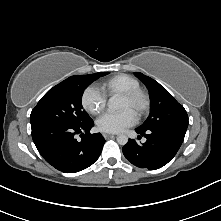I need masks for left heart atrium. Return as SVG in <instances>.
<instances>
[{
  "mask_svg": "<svg viewBox=\"0 0 221 221\" xmlns=\"http://www.w3.org/2000/svg\"><path fill=\"white\" fill-rule=\"evenodd\" d=\"M135 123V114L124 109L117 113H105L96 121L98 130L105 133H118Z\"/></svg>",
  "mask_w": 221,
  "mask_h": 221,
  "instance_id": "left-heart-atrium-1",
  "label": "left heart atrium"
}]
</instances>
